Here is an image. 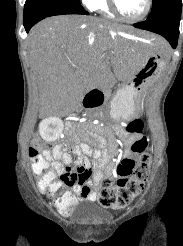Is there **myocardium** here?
Listing matches in <instances>:
<instances>
[{
	"instance_id": "1",
	"label": "myocardium",
	"mask_w": 183,
	"mask_h": 246,
	"mask_svg": "<svg viewBox=\"0 0 183 246\" xmlns=\"http://www.w3.org/2000/svg\"><path fill=\"white\" fill-rule=\"evenodd\" d=\"M108 1V5L110 10L115 14V16H117L119 19L125 21V22H129V23H136V22H140L143 19H145L147 17V15L150 13L151 8H152V0H146V7L145 10L143 11V13L135 18H129L126 17L121 10L119 9L118 6V1L117 0H107Z\"/></svg>"
}]
</instances>
